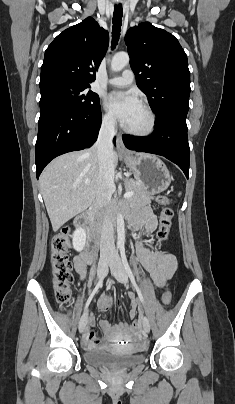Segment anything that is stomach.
I'll list each match as a JSON object with an SVG mask.
<instances>
[{
  "mask_svg": "<svg viewBox=\"0 0 235 404\" xmlns=\"http://www.w3.org/2000/svg\"><path fill=\"white\" fill-rule=\"evenodd\" d=\"M126 166L133 172L137 181L142 182L151 195L165 191L172 177L165 163L152 154H136L124 157Z\"/></svg>",
  "mask_w": 235,
  "mask_h": 404,
  "instance_id": "0dacf381",
  "label": "stomach"
}]
</instances>
